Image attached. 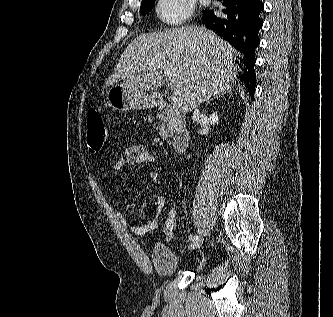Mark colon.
Listing matches in <instances>:
<instances>
[{
    "mask_svg": "<svg viewBox=\"0 0 333 317\" xmlns=\"http://www.w3.org/2000/svg\"><path fill=\"white\" fill-rule=\"evenodd\" d=\"M107 139V128L101 113L91 108L87 118V147L91 153L100 151ZM177 214L172 205L165 210L164 234L167 240H172L176 228Z\"/></svg>",
    "mask_w": 333,
    "mask_h": 317,
    "instance_id": "1",
    "label": "colon"
}]
</instances>
